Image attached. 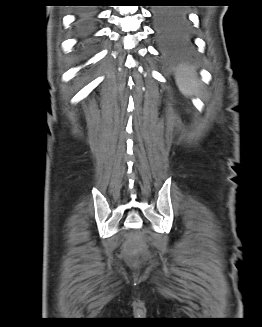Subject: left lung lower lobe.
I'll return each instance as SVG.
<instances>
[{"mask_svg": "<svg viewBox=\"0 0 262 327\" xmlns=\"http://www.w3.org/2000/svg\"><path fill=\"white\" fill-rule=\"evenodd\" d=\"M155 31L163 53L168 56L188 55L194 50L188 16L174 8H156L153 11Z\"/></svg>", "mask_w": 262, "mask_h": 327, "instance_id": "1", "label": "left lung lower lobe"}]
</instances>
